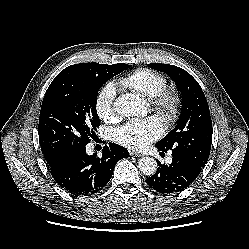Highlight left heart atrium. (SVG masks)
Listing matches in <instances>:
<instances>
[{"label":"left heart atrium","mask_w":249,"mask_h":249,"mask_svg":"<svg viewBox=\"0 0 249 249\" xmlns=\"http://www.w3.org/2000/svg\"><path fill=\"white\" fill-rule=\"evenodd\" d=\"M163 124L156 116L143 119H133L119 127L115 133V140L130 149H144L153 140L161 136Z\"/></svg>","instance_id":"1"}]
</instances>
